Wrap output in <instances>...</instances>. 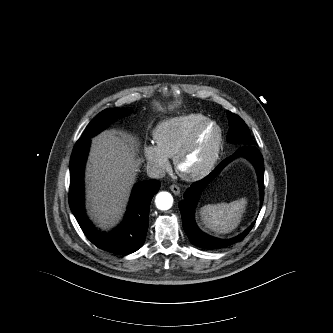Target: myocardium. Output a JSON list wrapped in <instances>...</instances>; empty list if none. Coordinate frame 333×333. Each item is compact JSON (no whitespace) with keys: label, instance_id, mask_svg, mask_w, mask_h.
Masks as SVG:
<instances>
[{"label":"myocardium","instance_id":"obj_1","mask_svg":"<svg viewBox=\"0 0 333 333\" xmlns=\"http://www.w3.org/2000/svg\"><path fill=\"white\" fill-rule=\"evenodd\" d=\"M209 126H214L217 131V137L213 145V148L206 161L199 168L192 171H188L184 168V163L188 158V156L190 155V153L195 148L201 133ZM222 143H223V130L221 126L216 121L207 119L205 122L200 124L194 130L191 137L188 139L185 145L178 151V153L174 157L175 168L178 174L182 178L188 181L199 180L208 175L215 167L219 159Z\"/></svg>","mask_w":333,"mask_h":333}]
</instances>
